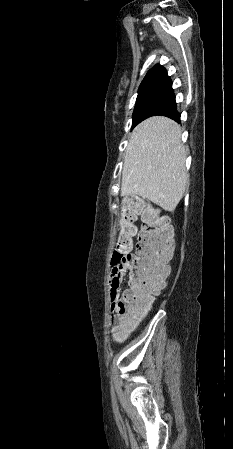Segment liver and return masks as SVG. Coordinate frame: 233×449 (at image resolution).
Returning a JSON list of instances; mask_svg holds the SVG:
<instances>
[{
  "label": "liver",
  "mask_w": 233,
  "mask_h": 449,
  "mask_svg": "<svg viewBox=\"0 0 233 449\" xmlns=\"http://www.w3.org/2000/svg\"><path fill=\"white\" fill-rule=\"evenodd\" d=\"M186 154L175 121L163 116L144 120L126 148L121 195L140 196L173 211L189 184Z\"/></svg>",
  "instance_id": "1"
}]
</instances>
